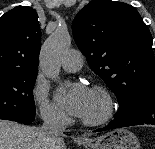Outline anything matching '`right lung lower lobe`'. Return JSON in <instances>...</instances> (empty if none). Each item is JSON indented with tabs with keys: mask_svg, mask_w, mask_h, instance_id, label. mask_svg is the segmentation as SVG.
<instances>
[{
	"mask_svg": "<svg viewBox=\"0 0 155 149\" xmlns=\"http://www.w3.org/2000/svg\"><path fill=\"white\" fill-rule=\"evenodd\" d=\"M33 120H34V117L32 119L26 120L25 122H23V124L25 125L30 124Z\"/></svg>",
	"mask_w": 155,
	"mask_h": 149,
	"instance_id": "98d812e1",
	"label": "right lung lower lobe"
}]
</instances>
